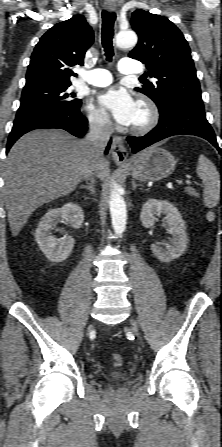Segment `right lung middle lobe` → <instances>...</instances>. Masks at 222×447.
Wrapping results in <instances>:
<instances>
[{
    "instance_id": "right-lung-middle-lobe-1",
    "label": "right lung middle lobe",
    "mask_w": 222,
    "mask_h": 447,
    "mask_svg": "<svg viewBox=\"0 0 222 447\" xmlns=\"http://www.w3.org/2000/svg\"><path fill=\"white\" fill-rule=\"evenodd\" d=\"M68 85H55L23 90L14 122L42 116L65 108H79L81 100L68 92Z\"/></svg>"
}]
</instances>
